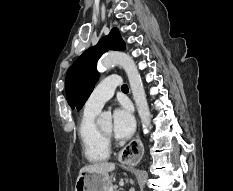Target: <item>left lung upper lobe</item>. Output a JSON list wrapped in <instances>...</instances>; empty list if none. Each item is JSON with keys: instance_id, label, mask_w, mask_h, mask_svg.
I'll return each mask as SVG.
<instances>
[{"instance_id": "obj_1", "label": "left lung upper lobe", "mask_w": 233, "mask_h": 191, "mask_svg": "<svg viewBox=\"0 0 233 191\" xmlns=\"http://www.w3.org/2000/svg\"><path fill=\"white\" fill-rule=\"evenodd\" d=\"M125 42L119 30L113 28L96 46L86 50L69 68L66 75L67 102L72 109L80 110L90 96L99 73L96 70L98 59L108 50H124Z\"/></svg>"}]
</instances>
